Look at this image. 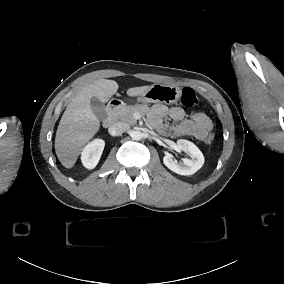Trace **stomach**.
<instances>
[{"mask_svg":"<svg viewBox=\"0 0 284 284\" xmlns=\"http://www.w3.org/2000/svg\"><path fill=\"white\" fill-rule=\"evenodd\" d=\"M181 96L182 91L178 86L158 83L143 96L142 101L171 105L178 103Z\"/></svg>","mask_w":284,"mask_h":284,"instance_id":"0dacf381","label":"stomach"}]
</instances>
